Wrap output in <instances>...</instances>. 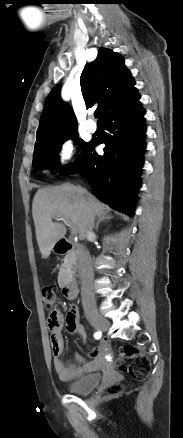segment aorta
Returning <instances> with one entry per match:
<instances>
[{
  "label": "aorta",
  "mask_w": 183,
  "mask_h": 438,
  "mask_svg": "<svg viewBox=\"0 0 183 438\" xmlns=\"http://www.w3.org/2000/svg\"><path fill=\"white\" fill-rule=\"evenodd\" d=\"M76 282H77L79 285H83V281H82V275H81V273H78V275L76 276Z\"/></svg>",
  "instance_id": "1"
}]
</instances>
